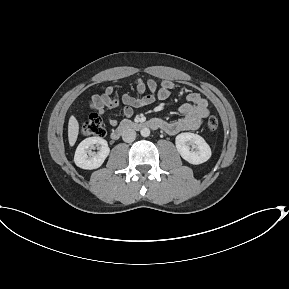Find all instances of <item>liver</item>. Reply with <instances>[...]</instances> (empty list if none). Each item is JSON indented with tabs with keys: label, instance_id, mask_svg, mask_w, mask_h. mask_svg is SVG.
Returning a JSON list of instances; mask_svg holds the SVG:
<instances>
[{
	"label": "liver",
	"instance_id": "1",
	"mask_svg": "<svg viewBox=\"0 0 289 289\" xmlns=\"http://www.w3.org/2000/svg\"><path fill=\"white\" fill-rule=\"evenodd\" d=\"M79 134V123L77 119L72 115L69 118L68 122V140H69V145L74 146L77 137Z\"/></svg>",
	"mask_w": 289,
	"mask_h": 289
}]
</instances>
